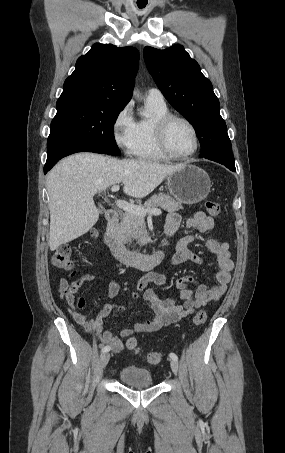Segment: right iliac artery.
Instances as JSON below:
<instances>
[{"mask_svg":"<svg viewBox=\"0 0 285 453\" xmlns=\"http://www.w3.org/2000/svg\"><path fill=\"white\" fill-rule=\"evenodd\" d=\"M109 350H110L109 347H106V346H105V347H102V352H108Z\"/></svg>","mask_w":285,"mask_h":453,"instance_id":"82829eb1","label":"right iliac artery"}]
</instances>
